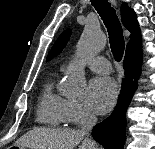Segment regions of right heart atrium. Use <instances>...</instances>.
Instances as JSON below:
<instances>
[{
	"label": "right heart atrium",
	"mask_w": 155,
	"mask_h": 149,
	"mask_svg": "<svg viewBox=\"0 0 155 149\" xmlns=\"http://www.w3.org/2000/svg\"><path fill=\"white\" fill-rule=\"evenodd\" d=\"M66 119L68 123L84 126L95 121L94 115L81 103L67 100Z\"/></svg>",
	"instance_id": "obj_1"
}]
</instances>
